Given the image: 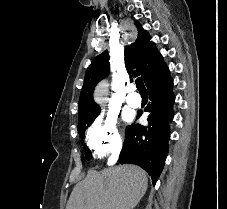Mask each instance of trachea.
<instances>
[{
  "label": "trachea",
  "mask_w": 227,
  "mask_h": 209,
  "mask_svg": "<svg viewBox=\"0 0 227 209\" xmlns=\"http://www.w3.org/2000/svg\"><path fill=\"white\" fill-rule=\"evenodd\" d=\"M135 83H136V86H137L139 92H146V88H145L144 83H143V81L140 77H138L135 80Z\"/></svg>",
  "instance_id": "3493384b"
}]
</instances>
